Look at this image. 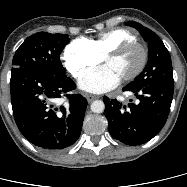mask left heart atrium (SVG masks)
<instances>
[{
  "mask_svg": "<svg viewBox=\"0 0 187 187\" xmlns=\"http://www.w3.org/2000/svg\"><path fill=\"white\" fill-rule=\"evenodd\" d=\"M121 77L108 65L98 67L79 80L80 89L100 94L116 87Z\"/></svg>",
  "mask_w": 187,
  "mask_h": 187,
  "instance_id": "left-heart-atrium-1",
  "label": "left heart atrium"
}]
</instances>
